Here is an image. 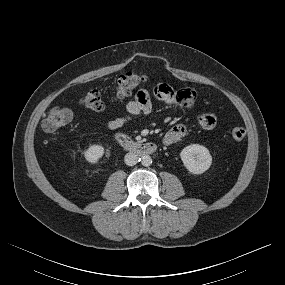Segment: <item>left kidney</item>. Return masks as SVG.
<instances>
[{
    "label": "left kidney",
    "instance_id": "1",
    "mask_svg": "<svg viewBox=\"0 0 285 285\" xmlns=\"http://www.w3.org/2000/svg\"><path fill=\"white\" fill-rule=\"evenodd\" d=\"M181 160L186 169L192 174H202L212 164V156L209 150L199 144H191L180 153Z\"/></svg>",
    "mask_w": 285,
    "mask_h": 285
}]
</instances>
